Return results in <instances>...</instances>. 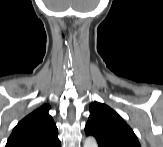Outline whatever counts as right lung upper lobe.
I'll use <instances>...</instances> for the list:
<instances>
[{"mask_svg": "<svg viewBox=\"0 0 163 147\" xmlns=\"http://www.w3.org/2000/svg\"><path fill=\"white\" fill-rule=\"evenodd\" d=\"M50 106L42 105L22 119L10 135L6 147H41L57 142L58 130L48 114Z\"/></svg>", "mask_w": 163, "mask_h": 147, "instance_id": "right-lung-upper-lobe-1", "label": "right lung upper lobe"}]
</instances>
